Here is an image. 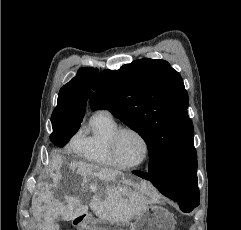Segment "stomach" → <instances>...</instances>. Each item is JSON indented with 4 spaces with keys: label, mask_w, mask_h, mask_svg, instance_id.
Here are the masks:
<instances>
[{
    "label": "stomach",
    "mask_w": 241,
    "mask_h": 230,
    "mask_svg": "<svg viewBox=\"0 0 241 230\" xmlns=\"http://www.w3.org/2000/svg\"><path fill=\"white\" fill-rule=\"evenodd\" d=\"M124 182L126 180L122 174L116 176V184ZM174 227L173 215L164 207L152 204L136 218L134 223L87 218L79 225V230H174Z\"/></svg>",
    "instance_id": "obj_1"
}]
</instances>
